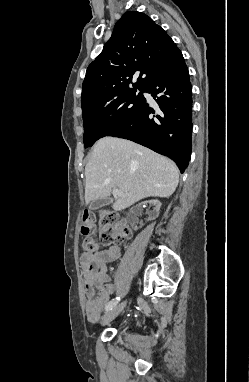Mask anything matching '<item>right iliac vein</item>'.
<instances>
[{
  "label": "right iliac vein",
  "mask_w": 249,
  "mask_h": 382,
  "mask_svg": "<svg viewBox=\"0 0 249 382\" xmlns=\"http://www.w3.org/2000/svg\"><path fill=\"white\" fill-rule=\"evenodd\" d=\"M126 302H122L114 306L110 311H108L102 318V324L105 325L115 319L124 309Z\"/></svg>",
  "instance_id": "obj_1"
}]
</instances>
